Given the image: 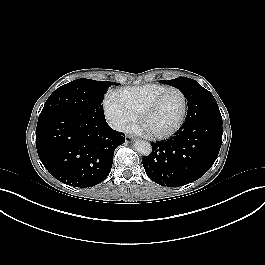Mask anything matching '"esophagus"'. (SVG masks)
Instances as JSON below:
<instances>
[{
  "instance_id": "esophagus-1",
  "label": "esophagus",
  "mask_w": 265,
  "mask_h": 265,
  "mask_svg": "<svg viewBox=\"0 0 265 265\" xmlns=\"http://www.w3.org/2000/svg\"><path fill=\"white\" fill-rule=\"evenodd\" d=\"M136 137H134L133 135L129 136V139L133 140L135 139Z\"/></svg>"
}]
</instances>
